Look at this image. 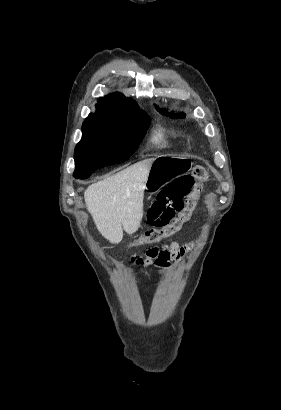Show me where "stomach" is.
Wrapping results in <instances>:
<instances>
[{
    "instance_id": "1",
    "label": "stomach",
    "mask_w": 281,
    "mask_h": 410,
    "mask_svg": "<svg viewBox=\"0 0 281 410\" xmlns=\"http://www.w3.org/2000/svg\"><path fill=\"white\" fill-rule=\"evenodd\" d=\"M191 168L189 159L178 155H161L154 159L146 181V189L156 192L173 177Z\"/></svg>"
}]
</instances>
